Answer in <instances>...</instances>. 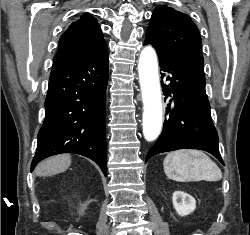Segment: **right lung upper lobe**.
I'll return each mask as SVG.
<instances>
[{
	"mask_svg": "<svg viewBox=\"0 0 250 235\" xmlns=\"http://www.w3.org/2000/svg\"><path fill=\"white\" fill-rule=\"evenodd\" d=\"M105 45L97 19L84 14L61 36L53 67L85 58Z\"/></svg>",
	"mask_w": 250,
	"mask_h": 235,
	"instance_id": "right-lung-upper-lobe-1",
	"label": "right lung upper lobe"
}]
</instances>
